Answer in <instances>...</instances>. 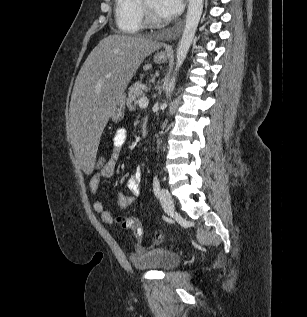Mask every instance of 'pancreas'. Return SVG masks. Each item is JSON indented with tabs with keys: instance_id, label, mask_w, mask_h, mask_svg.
<instances>
[{
	"instance_id": "pancreas-1",
	"label": "pancreas",
	"mask_w": 307,
	"mask_h": 317,
	"mask_svg": "<svg viewBox=\"0 0 307 317\" xmlns=\"http://www.w3.org/2000/svg\"><path fill=\"white\" fill-rule=\"evenodd\" d=\"M144 96L142 90V83L136 82L128 90V98L126 100V105L130 111L137 109V103Z\"/></svg>"
}]
</instances>
